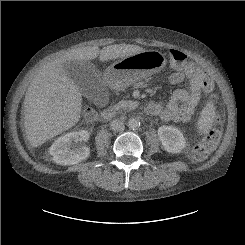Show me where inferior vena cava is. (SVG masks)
<instances>
[{
    "instance_id": "602c4592",
    "label": "inferior vena cava",
    "mask_w": 245,
    "mask_h": 245,
    "mask_svg": "<svg viewBox=\"0 0 245 245\" xmlns=\"http://www.w3.org/2000/svg\"><path fill=\"white\" fill-rule=\"evenodd\" d=\"M123 122L119 119H114L111 122V129L114 131H119L123 128Z\"/></svg>"
}]
</instances>
